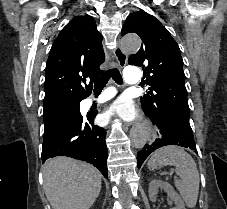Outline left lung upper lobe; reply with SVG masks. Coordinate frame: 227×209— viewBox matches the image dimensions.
Segmentation results:
<instances>
[{"instance_id":"left-lung-upper-lobe-1","label":"left lung upper lobe","mask_w":227,"mask_h":209,"mask_svg":"<svg viewBox=\"0 0 227 209\" xmlns=\"http://www.w3.org/2000/svg\"><path fill=\"white\" fill-rule=\"evenodd\" d=\"M127 33H136L143 41L140 50L128 59L130 65L144 69L143 82L150 86L140 99L143 110L189 121L183 60L169 31L154 16L137 11L125 21L122 35Z\"/></svg>"}]
</instances>
